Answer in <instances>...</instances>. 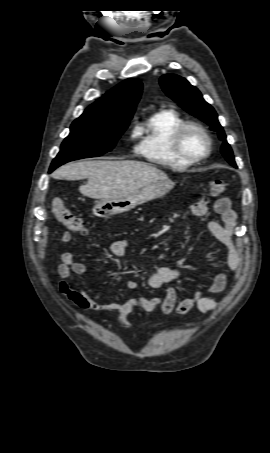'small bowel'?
<instances>
[{
  "label": "small bowel",
  "mask_w": 270,
  "mask_h": 453,
  "mask_svg": "<svg viewBox=\"0 0 270 453\" xmlns=\"http://www.w3.org/2000/svg\"><path fill=\"white\" fill-rule=\"evenodd\" d=\"M214 210L220 216V222L210 221L208 230L210 233L227 248L226 264L229 270L236 274L241 264L240 247L232 239L236 226V215L231 208V202L228 198H219L214 203ZM208 211V206L203 201L196 202L192 207V212L196 217H203ZM73 236L69 232H64L60 238L61 246L70 244ZM111 252L118 258H125L127 253V242L118 239L112 242ZM58 274L61 277L59 290L67 296L77 307L83 310L97 312H114L116 320L120 326L135 334L134 327L128 322L127 315L136 308L143 309L147 312L161 313L167 316L175 314H186L193 308H197L202 313H209L219 307L218 301L205 296L202 292H196L192 297L178 301L175 288L167 286L159 295L152 297H137L126 302L113 301L111 303H100L90 297L84 290L75 288L71 285L73 274L83 275L87 271L84 263L75 260L72 253L65 252L61 256V264L58 266ZM183 278V272L179 268L161 267L148 278V285L153 289H160L167 284L173 283ZM231 286V281L226 273L216 274L207 287L210 294H221ZM126 287L129 290H135L139 287L136 280H128ZM100 295L106 296L107 292L98 289Z\"/></svg>",
  "instance_id": "1"
}]
</instances>
